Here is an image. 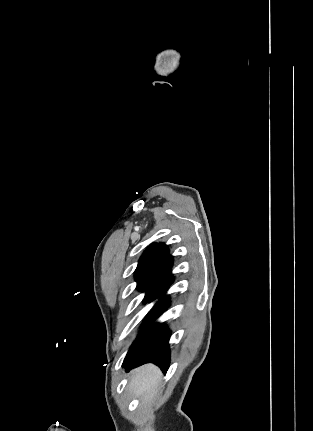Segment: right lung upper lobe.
Masks as SVG:
<instances>
[{"label": "right lung upper lobe", "mask_w": 313, "mask_h": 431, "mask_svg": "<svg viewBox=\"0 0 313 431\" xmlns=\"http://www.w3.org/2000/svg\"><path fill=\"white\" fill-rule=\"evenodd\" d=\"M173 257L169 255L168 247L162 243H153L141 256L135 271L137 287L146 291V298H150L169 279Z\"/></svg>", "instance_id": "obj_1"}]
</instances>
